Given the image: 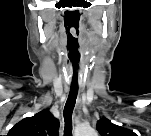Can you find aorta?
I'll return each instance as SVG.
<instances>
[{"label": "aorta", "instance_id": "762f6f07", "mask_svg": "<svg viewBox=\"0 0 151 136\" xmlns=\"http://www.w3.org/2000/svg\"><path fill=\"white\" fill-rule=\"evenodd\" d=\"M90 134H91V135H94V136L96 135V133H95V132H91Z\"/></svg>", "mask_w": 151, "mask_h": 136}]
</instances>
